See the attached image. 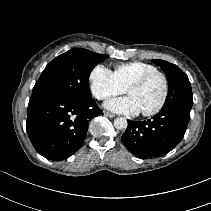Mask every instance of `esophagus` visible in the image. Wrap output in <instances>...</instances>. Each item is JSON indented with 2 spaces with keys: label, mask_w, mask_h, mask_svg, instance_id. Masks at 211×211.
Listing matches in <instances>:
<instances>
[{
  "label": "esophagus",
  "mask_w": 211,
  "mask_h": 211,
  "mask_svg": "<svg viewBox=\"0 0 211 211\" xmlns=\"http://www.w3.org/2000/svg\"><path fill=\"white\" fill-rule=\"evenodd\" d=\"M105 116L109 117V118H114L115 115L110 113V112H105Z\"/></svg>",
  "instance_id": "obj_1"
}]
</instances>
